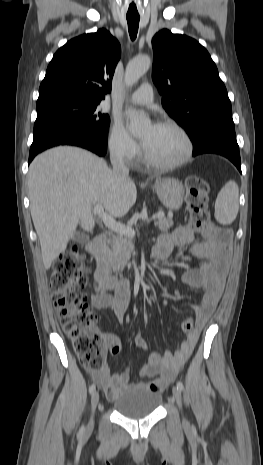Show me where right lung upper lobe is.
Instances as JSON below:
<instances>
[{
	"label": "right lung upper lobe",
	"instance_id": "obj_1",
	"mask_svg": "<svg viewBox=\"0 0 263 465\" xmlns=\"http://www.w3.org/2000/svg\"><path fill=\"white\" fill-rule=\"evenodd\" d=\"M120 55L119 42L106 29L70 40L53 56L38 101L62 96L101 101L111 90Z\"/></svg>",
	"mask_w": 263,
	"mask_h": 465
}]
</instances>
